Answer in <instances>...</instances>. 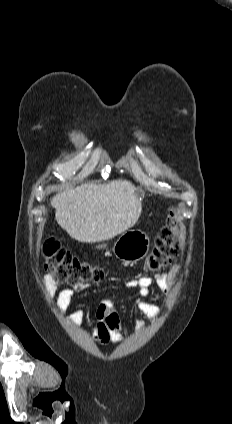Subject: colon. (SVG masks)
<instances>
[{
    "mask_svg": "<svg viewBox=\"0 0 232 424\" xmlns=\"http://www.w3.org/2000/svg\"><path fill=\"white\" fill-rule=\"evenodd\" d=\"M178 233L176 214L171 209L145 260L147 270L159 271L174 260L178 251ZM43 255L46 272L51 282L55 284H68L76 287L90 282H102L106 278L104 268L76 257L55 240L46 241Z\"/></svg>",
    "mask_w": 232,
    "mask_h": 424,
    "instance_id": "colon-1",
    "label": "colon"
}]
</instances>
